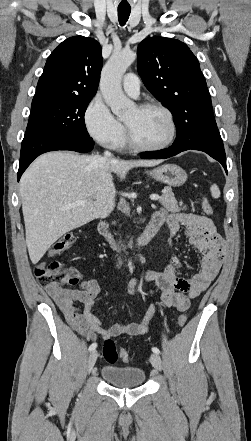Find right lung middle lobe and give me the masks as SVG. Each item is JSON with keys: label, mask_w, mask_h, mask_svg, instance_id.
I'll return each instance as SVG.
<instances>
[{"label": "right lung middle lobe", "mask_w": 251, "mask_h": 441, "mask_svg": "<svg viewBox=\"0 0 251 441\" xmlns=\"http://www.w3.org/2000/svg\"><path fill=\"white\" fill-rule=\"evenodd\" d=\"M92 97L46 98L32 101L27 127H40L72 138H91L84 114Z\"/></svg>", "instance_id": "dd1d6c3e"}]
</instances>
